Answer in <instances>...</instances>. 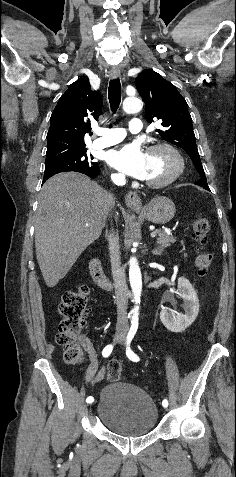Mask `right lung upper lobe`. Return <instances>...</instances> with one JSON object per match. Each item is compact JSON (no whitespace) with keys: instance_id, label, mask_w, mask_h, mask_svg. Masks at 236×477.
<instances>
[{"instance_id":"cb5924a9","label":"right lung upper lobe","mask_w":236,"mask_h":477,"mask_svg":"<svg viewBox=\"0 0 236 477\" xmlns=\"http://www.w3.org/2000/svg\"><path fill=\"white\" fill-rule=\"evenodd\" d=\"M101 110L102 97L91 90L86 77L72 83L51 115L46 162L86 149L84 135L91 131V121H98Z\"/></svg>"}]
</instances>
